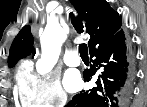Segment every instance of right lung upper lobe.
I'll return each instance as SVG.
<instances>
[{
	"label": "right lung upper lobe",
	"mask_w": 147,
	"mask_h": 107,
	"mask_svg": "<svg viewBox=\"0 0 147 107\" xmlns=\"http://www.w3.org/2000/svg\"><path fill=\"white\" fill-rule=\"evenodd\" d=\"M70 1L78 12V17L85 22L86 32L91 37L88 42L90 50L112 37L120 29L121 17L106 0ZM33 41L30 26H24L11 45L8 57L9 67L15 66L20 59L30 55L33 50Z\"/></svg>",
	"instance_id": "cb5924a9"
}]
</instances>
